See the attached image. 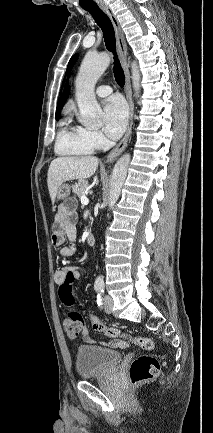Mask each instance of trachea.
Masks as SVG:
<instances>
[{
  "instance_id": "trachea-1",
  "label": "trachea",
  "mask_w": 213,
  "mask_h": 433,
  "mask_svg": "<svg viewBox=\"0 0 213 433\" xmlns=\"http://www.w3.org/2000/svg\"><path fill=\"white\" fill-rule=\"evenodd\" d=\"M84 9L92 15L95 22L102 29L106 48L114 55L113 69L115 80L119 86L123 87L125 84V75L116 53V39L112 22L108 15L103 12L98 6Z\"/></svg>"
}]
</instances>
